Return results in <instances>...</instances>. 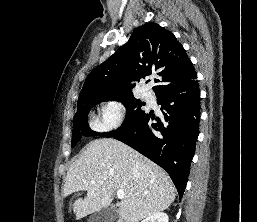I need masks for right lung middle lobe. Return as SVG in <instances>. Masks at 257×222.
Masks as SVG:
<instances>
[{
  "instance_id": "obj_1",
  "label": "right lung middle lobe",
  "mask_w": 257,
  "mask_h": 222,
  "mask_svg": "<svg viewBox=\"0 0 257 222\" xmlns=\"http://www.w3.org/2000/svg\"><path fill=\"white\" fill-rule=\"evenodd\" d=\"M107 100H116L122 102L127 109V114L125 116L124 122L122 125L111 132L107 133H97L92 131L87 123V115L90 109L102 102ZM144 103H141L139 100L135 99L133 95H119V96H95L90 97L77 105V113L74 116L73 123V134H72V147H74L77 142L81 139L82 135L86 136H104V137H112L115 134L126 130L131 125H133L143 114L146 112L141 108Z\"/></svg>"
}]
</instances>
